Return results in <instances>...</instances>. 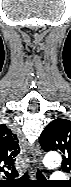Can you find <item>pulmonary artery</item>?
Here are the masks:
<instances>
[{
    "mask_svg": "<svg viewBox=\"0 0 71 187\" xmlns=\"http://www.w3.org/2000/svg\"><path fill=\"white\" fill-rule=\"evenodd\" d=\"M64 178H66V176L63 172H55L52 176V179H55V180H61Z\"/></svg>",
    "mask_w": 71,
    "mask_h": 187,
    "instance_id": "obj_1",
    "label": "pulmonary artery"
}]
</instances>
